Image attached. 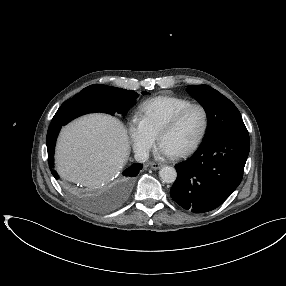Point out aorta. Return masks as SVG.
Masks as SVG:
<instances>
[{
	"instance_id": "aorta-1",
	"label": "aorta",
	"mask_w": 286,
	"mask_h": 286,
	"mask_svg": "<svg viewBox=\"0 0 286 286\" xmlns=\"http://www.w3.org/2000/svg\"><path fill=\"white\" fill-rule=\"evenodd\" d=\"M159 176L165 183H173L176 180L177 172L175 168L165 166L160 169Z\"/></svg>"
}]
</instances>
